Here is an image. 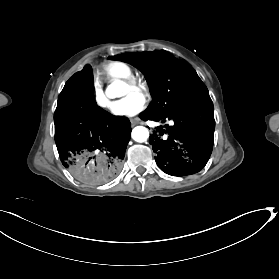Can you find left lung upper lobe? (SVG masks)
<instances>
[{"label":"left lung upper lobe","mask_w":279,"mask_h":279,"mask_svg":"<svg viewBox=\"0 0 279 279\" xmlns=\"http://www.w3.org/2000/svg\"><path fill=\"white\" fill-rule=\"evenodd\" d=\"M109 59L129 63L144 74L153 97L145 113L164 116L209 96L196 71L164 51L124 53Z\"/></svg>","instance_id":"5c2ea615"}]
</instances>
